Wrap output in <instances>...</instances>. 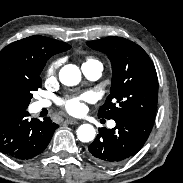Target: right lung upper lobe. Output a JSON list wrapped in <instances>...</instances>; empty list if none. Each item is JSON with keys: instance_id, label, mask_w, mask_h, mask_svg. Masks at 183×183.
<instances>
[{"instance_id": "right-lung-upper-lobe-1", "label": "right lung upper lobe", "mask_w": 183, "mask_h": 183, "mask_svg": "<svg viewBox=\"0 0 183 183\" xmlns=\"http://www.w3.org/2000/svg\"><path fill=\"white\" fill-rule=\"evenodd\" d=\"M70 48L64 42L37 35L13 42L0 51V121L23 110L12 88L36 75L51 56Z\"/></svg>"}]
</instances>
